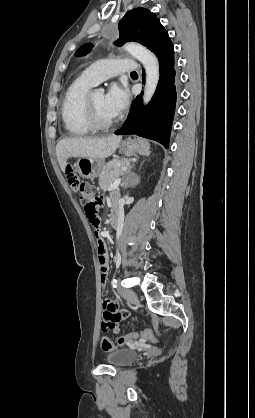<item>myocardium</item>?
I'll list each match as a JSON object with an SVG mask.
<instances>
[{"label": "myocardium", "instance_id": "1", "mask_svg": "<svg viewBox=\"0 0 255 418\" xmlns=\"http://www.w3.org/2000/svg\"><path fill=\"white\" fill-rule=\"evenodd\" d=\"M92 94L93 92L90 91L86 97V101H85V115H86V120L89 124V126L93 129V130H107L109 128H111L115 121L114 120H110L107 122L101 121L95 111L94 105H93V101H92Z\"/></svg>", "mask_w": 255, "mask_h": 418}]
</instances>
